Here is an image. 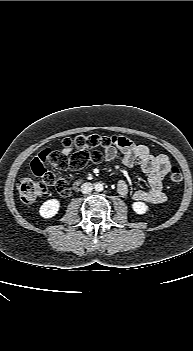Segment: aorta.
I'll list each match as a JSON object with an SVG mask.
<instances>
[{"label": "aorta", "instance_id": "aorta-1", "mask_svg": "<svg viewBox=\"0 0 193 351\" xmlns=\"http://www.w3.org/2000/svg\"><path fill=\"white\" fill-rule=\"evenodd\" d=\"M94 189H95V191H97V192H101V191H103V184L102 183H96L95 185H94Z\"/></svg>", "mask_w": 193, "mask_h": 351}]
</instances>
